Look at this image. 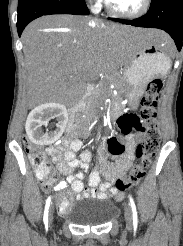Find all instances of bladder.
Instances as JSON below:
<instances>
[{
	"instance_id": "obj_1",
	"label": "bladder",
	"mask_w": 183,
	"mask_h": 246,
	"mask_svg": "<svg viewBox=\"0 0 183 246\" xmlns=\"http://www.w3.org/2000/svg\"><path fill=\"white\" fill-rule=\"evenodd\" d=\"M115 204L104 198H95V201L70 215L73 223L80 226H101L110 221L116 214Z\"/></svg>"
}]
</instances>
